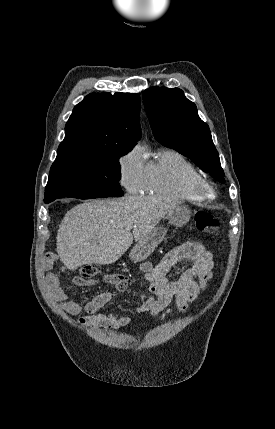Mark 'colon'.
<instances>
[{"label":"colon","mask_w":275,"mask_h":429,"mask_svg":"<svg viewBox=\"0 0 275 429\" xmlns=\"http://www.w3.org/2000/svg\"><path fill=\"white\" fill-rule=\"evenodd\" d=\"M194 222L196 228L204 233H215L219 228V221L211 213L199 210L194 215ZM80 274L85 279H94L101 273L100 268L92 265L85 264L80 267Z\"/></svg>","instance_id":"5ec220e1"}]
</instances>
